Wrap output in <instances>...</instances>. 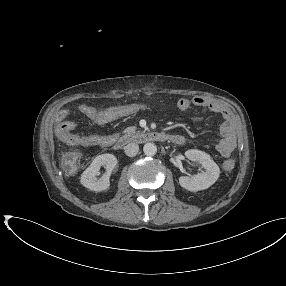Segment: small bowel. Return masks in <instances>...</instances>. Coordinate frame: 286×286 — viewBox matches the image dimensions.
Listing matches in <instances>:
<instances>
[{"label": "small bowel", "instance_id": "small-bowel-1", "mask_svg": "<svg viewBox=\"0 0 286 286\" xmlns=\"http://www.w3.org/2000/svg\"><path fill=\"white\" fill-rule=\"evenodd\" d=\"M192 106L208 109L212 113L219 114L224 119L221 126L222 139L216 145V149L223 157H229L237 143L235 124L229 108L224 104L200 96L191 99L180 98L177 101V107L182 111ZM142 108V106L138 105H126L101 110L93 104L82 103L77 106V111L86 116L94 125H104ZM71 115V111L65 109L59 110L55 115V120L58 123L57 134L65 143L82 148L109 147L116 140V133L106 135L74 134L72 131L76 124L71 120Z\"/></svg>", "mask_w": 286, "mask_h": 286}]
</instances>
